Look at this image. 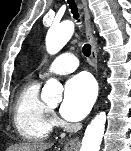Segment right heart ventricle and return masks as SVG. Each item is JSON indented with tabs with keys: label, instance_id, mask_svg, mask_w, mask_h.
<instances>
[{
	"label": "right heart ventricle",
	"instance_id": "1",
	"mask_svg": "<svg viewBox=\"0 0 131 151\" xmlns=\"http://www.w3.org/2000/svg\"><path fill=\"white\" fill-rule=\"evenodd\" d=\"M39 88L38 81H30L21 88L16 98L14 124L19 135L27 141H43L53 128L51 110L41 100Z\"/></svg>",
	"mask_w": 131,
	"mask_h": 151
}]
</instances>
